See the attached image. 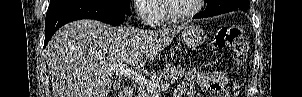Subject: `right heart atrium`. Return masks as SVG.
<instances>
[{
  "instance_id": "d8ad5b80",
  "label": "right heart atrium",
  "mask_w": 302,
  "mask_h": 97,
  "mask_svg": "<svg viewBox=\"0 0 302 97\" xmlns=\"http://www.w3.org/2000/svg\"><path fill=\"white\" fill-rule=\"evenodd\" d=\"M136 12L145 24L154 25L161 21V9L156 0H136Z\"/></svg>"
}]
</instances>
